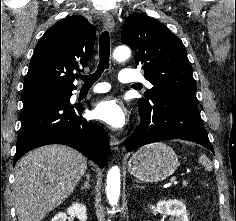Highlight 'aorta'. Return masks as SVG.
<instances>
[{"label":"aorta","instance_id":"aorta-1","mask_svg":"<svg viewBox=\"0 0 236 221\" xmlns=\"http://www.w3.org/2000/svg\"><path fill=\"white\" fill-rule=\"evenodd\" d=\"M131 51L127 46H119L114 50L113 58L124 61L130 57ZM106 195L110 205L117 204L120 196V169L118 166L110 168L107 174Z\"/></svg>","mask_w":236,"mask_h":221}]
</instances>
